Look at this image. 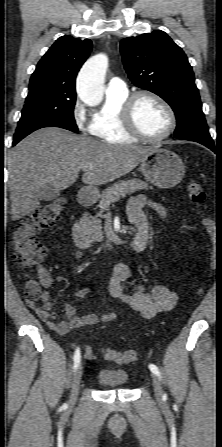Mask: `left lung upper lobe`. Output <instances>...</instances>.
Returning <instances> with one entry per match:
<instances>
[{
    "instance_id": "left-lung-upper-lobe-1",
    "label": "left lung upper lobe",
    "mask_w": 222,
    "mask_h": 447,
    "mask_svg": "<svg viewBox=\"0 0 222 447\" xmlns=\"http://www.w3.org/2000/svg\"><path fill=\"white\" fill-rule=\"evenodd\" d=\"M124 67L137 87L163 98L174 110V136L213 142L202 111L195 77L183 50L161 30L124 38L120 43Z\"/></svg>"
}]
</instances>
